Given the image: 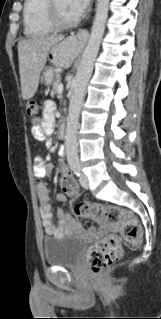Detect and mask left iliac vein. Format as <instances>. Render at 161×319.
<instances>
[{"label":"left iliac vein","instance_id":"4c4485c4","mask_svg":"<svg viewBox=\"0 0 161 319\" xmlns=\"http://www.w3.org/2000/svg\"><path fill=\"white\" fill-rule=\"evenodd\" d=\"M80 184L83 188L88 189L89 188V181L85 174L80 175Z\"/></svg>","mask_w":161,"mask_h":319}]
</instances>
